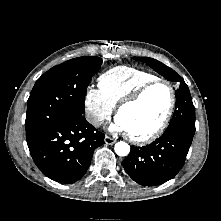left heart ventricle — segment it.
Here are the masks:
<instances>
[{"instance_id":"left-heart-ventricle-1","label":"left heart ventricle","mask_w":221,"mask_h":221,"mask_svg":"<svg viewBox=\"0 0 221 221\" xmlns=\"http://www.w3.org/2000/svg\"><path fill=\"white\" fill-rule=\"evenodd\" d=\"M170 102V92L165 84H157L146 91L135 104L124 108L118 119L126 131L143 136L154 131L162 122Z\"/></svg>"}]
</instances>
